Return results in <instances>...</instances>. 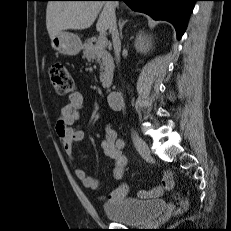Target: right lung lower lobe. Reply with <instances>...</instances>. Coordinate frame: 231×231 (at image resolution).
<instances>
[{
    "instance_id": "1",
    "label": "right lung lower lobe",
    "mask_w": 231,
    "mask_h": 231,
    "mask_svg": "<svg viewBox=\"0 0 231 231\" xmlns=\"http://www.w3.org/2000/svg\"><path fill=\"white\" fill-rule=\"evenodd\" d=\"M102 1V0H94ZM124 1L131 9L143 12L154 19L171 22L180 39L185 32L194 3L197 0H118Z\"/></svg>"
}]
</instances>
